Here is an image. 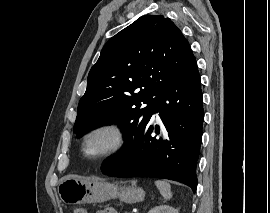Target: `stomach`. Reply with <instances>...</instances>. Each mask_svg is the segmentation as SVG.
I'll list each match as a JSON object with an SVG mask.
<instances>
[{"label":"stomach","instance_id":"0dacf381","mask_svg":"<svg viewBox=\"0 0 270 213\" xmlns=\"http://www.w3.org/2000/svg\"><path fill=\"white\" fill-rule=\"evenodd\" d=\"M60 199L66 204L97 203L111 198L134 203L145 197L142 188L121 186L118 183L106 182L102 179L83 178L69 175L58 184Z\"/></svg>","mask_w":270,"mask_h":213}]
</instances>
